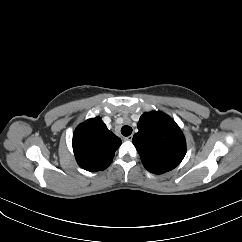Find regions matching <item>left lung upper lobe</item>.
<instances>
[{
	"instance_id": "1",
	"label": "left lung upper lobe",
	"mask_w": 242,
	"mask_h": 242,
	"mask_svg": "<svg viewBox=\"0 0 242 242\" xmlns=\"http://www.w3.org/2000/svg\"><path fill=\"white\" fill-rule=\"evenodd\" d=\"M138 129L132 142L148 171L162 174L180 164L186 153V141L173 119L162 112L144 113Z\"/></svg>"
}]
</instances>
